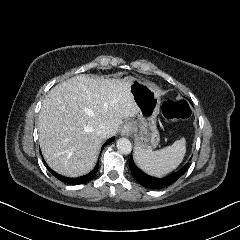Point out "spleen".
I'll return each instance as SVG.
<instances>
[{
    "label": "spleen",
    "instance_id": "obj_1",
    "mask_svg": "<svg viewBox=\"0 0 240 240\" xmlns=\"http://www.w3.org/2000/svg\"><path fill=\"white\" fill-rule=\"evenodd\" d=\"M186 153V140L182 137L171 146L156 151H146L135 147L134 159L145 173L162 177L175 170L183 161Z\"/></svg>",
    "mask_w": 240,
    "mask_h": 240
}]
</instances>
